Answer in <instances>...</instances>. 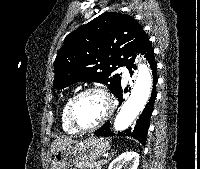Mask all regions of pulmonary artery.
<instances>
[{
    "label": "pulmonary artery",
    "instance_id": "e3ab8cb5",
    "mask_svg": "<svg viewBox=\"0 0 200 169\" xmlns=\"http://www.w3.org/2000/svg\"><path fill=\"white\" fill-rule=\"evenodd\" d=\"M122 72H123L124 79L127 80L129 78V73L124 69H122Z\"/></svg>",
    "mask_w": 200,
    "mask_h": 169
}]
</instances>
